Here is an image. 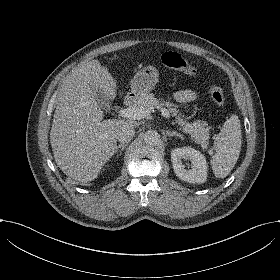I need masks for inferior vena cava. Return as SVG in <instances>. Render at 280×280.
<instances>
[{"label": "inferior vena cava", "instance_id": "1", "mask_svg": "<svg viewBox=\"0 0 280 280\" xmlns=\"http://www.w3.org/2000/svg\"><path fill=\"white\" fill-rule=\"evenodd\" d=\"M135 134V130L133 127L124 126L120 130L117 131V139L121 143H128L131 141Z\"/></svg>", "mask_w": 280, "mask_h": 280}]
</instances>
